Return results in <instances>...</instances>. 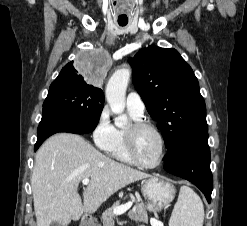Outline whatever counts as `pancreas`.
Wrapping results in <instances>:
<instances>
[{
    "label": "pancreas",
    "mask_w": 247,
    "mask_h": 226,
    "mask_svg": "<svg viewBox=\"0 0 247 226\" xmlns=\"http://www.w3.org/2000/svg\"><path fill=\"white\" fill-rule=\"evenodd\" d=\"M120 206V202H116L112 205V207L108 208L105 212L102 213L101 220L103 226H114L115 224V214L114 209ZM128 216L131 220L138 222H148V215L146 211V207L143 203H137L134 208L129 211Z\"/></svg>",
    "instance_id": "pancreas-1"
}]
</instances>
